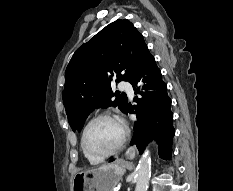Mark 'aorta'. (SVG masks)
I'll return each instance as SVG.
<instances>
[{
  "mask_svg": "<svg viewBox=\"0 0 233 191\" xmlns=\"http://www.w3.org/2000/svg\"><path fill=\"white\" fill-rule=\"evenodd\" d=\"M151 174V157L148 149L142 154L136 168V188L135 191H147Z\"/></svg>",
  "mask_w": 233,
  "mask_h": 191,
  "instance_id": "1",
  "label": "aorta"
}]
</instances>
